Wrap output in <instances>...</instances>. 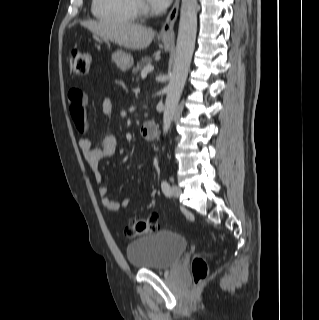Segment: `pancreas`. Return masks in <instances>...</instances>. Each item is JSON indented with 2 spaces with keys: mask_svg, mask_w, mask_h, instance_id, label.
<instances>
[{
  "mask_svg": "<svg viewBox=\"0 0 319 320\" xmlns=\"http://www.w3.org/2000/svg\"><path fill=\"white\" fill-rule=\"evenodd\" d=\"M152 60L149 57H143L140 62L137 63V66L133 68L132 73L136 74L146 66L150 65Z\"/></svg>",
  "mask_w": 319,
  "mask_h": 320,
  "instance_id": "obj_1",
  "label": "pancreas"
}]
</instances>
